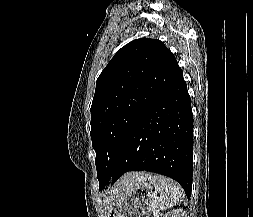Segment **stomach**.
<instances>
[{"instance_id": "0dacf381", "label": "stomach", "mask_w": 253, "mask_h": 217, "mask_svg": "<svg viewBox=\"0 0 253 217\" xmlns=\"http://www.w3.org/2000/svg\"><path fill=\"white\" fill-rule=\"evenodd\" d=\"M155 202L150 185L143 182L115 199L107 217H150Z\"/></svg>"}]
</instances>
